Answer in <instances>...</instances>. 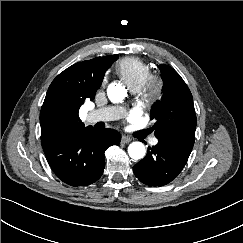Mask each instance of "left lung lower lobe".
I'll list each match as a JSON object with an SVG mask.
<instances>
[{"instance_id": "1", "label": "left lung lower lobe", "mask_w": 243, "mask_h": 243, "mask_svg": "<svg viewBox=\"0 0 243 243\" xmlns=\"http://www.w3.org/2000/svg\"><path fill=\"white\" fill-rule=\"evenodd\" d=\"M189 155L175 145L159 141L148 148L147 155L133 167V172L146 185L163 186L178 176Z\"/></svg>"}]
</instances>
